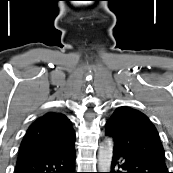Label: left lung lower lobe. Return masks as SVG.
Listing matches in <instances>:
<instances>
[{
	"mask_svg": "<svg viewBox=\"0 0 173 173\" xmlns=\"http://www.w3.org/2000/svg\"><path fill=\"white\" fill-rule=\"evenodd\" d=\"M110 173H168V170L167 166L141 156L114 150Z\"/></svg>",
	"mask_w": 173,
	"mask_h": 173,
	"instance_id": "left-lung-lower-lobe-1",
	"label": "left lung lower lobe"
}]
</instances>
